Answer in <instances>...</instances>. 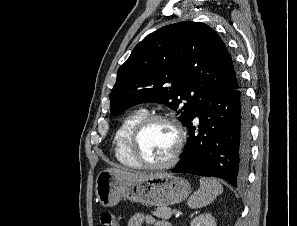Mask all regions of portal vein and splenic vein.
I'll list each match as a JSON object with an SVG mask.
<instances>
[{
  "instance_id": "1",
  "label": "portal vein and splenic vein",
  "mask_w": 297,
  "mask_h": 226,
  "mask_svg": "<svg viewBox=\"0 0 297 226\" xmlns=\"http://www.w3.org/2000/svg\"><path fill=\"white\" fill-rule=\"evenodd\" d=\"M172 211H173V213H176V209H173Z\"/></svg>"
}]
</instances>
